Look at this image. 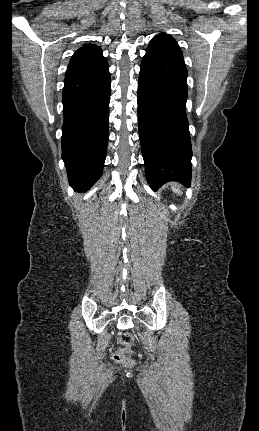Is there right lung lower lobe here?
I'll return each mask as SVG.
<instances>
[{
  "label": "right lung lower lobe",
  "mask_w": 259,
  "mask_h": 431,
  "mask_svg": "<svg viewBox=\"0 0 259 431\" xmlns=\"http://www.w3.org/2000/svg\"><path fill=\"white\" fill-rule=\"evenodd\" d=\"M107 63L65 75L62 159L70 185L89 189L101 176L108 144L111 78Z\"/></svg>",
  "instance_id": "1"
}]
</instances>
